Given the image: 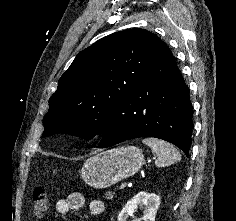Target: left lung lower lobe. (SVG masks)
<instances>
[{"label": "left lung lower lobe", "mask_w": 236, "mask_h": 221, "mask_svg": "<svg viewBox=\"0 0 236 221\" xmlns=\"http://www.w3.org/2000/svg\"><path fill=\"white\" fill-rule=\"evenodd\" d=\"M192 129L189 89L166 46L115 110L98 148L139 137H155L176 145L188 155Z\"/></svg>", "instance_id": "1"}]
</instances>
